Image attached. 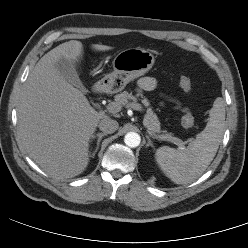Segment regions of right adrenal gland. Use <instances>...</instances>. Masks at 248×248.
Instances as JSON below:
<instances>
[{"label": "right adrenal gland", "instance_id": "right-adrenal-gland-1", "mask_svg": "<svg viewBox=\"0 0 248 248\" xmlns=\"http://www.w3.org/2000/svg\"><path fill=\"white\" fill-rule=\"evenodd\" d=\"M106 135H107L106 133H97L96 135L92 136V139L97 138V146H96V149L92 152V154H90V157L94 158L95 154L97 153V151L99 149V144H100L102 138Z\"/></svg>", "mask_w": 248, "mask_h": 248}]
</instances>
